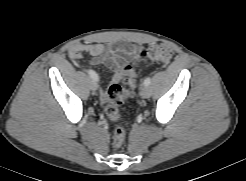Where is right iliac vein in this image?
Listing matches in <instances>:
<instances>
[{"mask_svg": "<svg viewBox=\"0 0 246 181\" xmlns=\"http://www.w3.org/2000/svg\"><path fill=\"white\" fill-rule=\"evenodd\" d=\"M90 88L93 92H95L97 90V83L95 80H91L90 82Z\"/></svg>", "mask_w": 246, "mask_h": 181, "instance_id": "63e3f726", "label": "right iliac vein"}]
</instances>
